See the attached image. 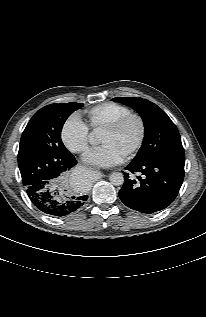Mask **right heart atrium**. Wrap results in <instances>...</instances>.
<instances>
[{
    "label": "right heart atrium",
    "mask_w": 206,
    "mask_h": 317,
    "mask_svg": "<svg viewBox=\"0 0 206 317\" xmlns=\"http://www.w3.org/2000/svg\"><path fill=\"white\" fill-rule=\"evenodd\" d=\"M60 134L64 145L70 151L83 153L88 149L90 142L89 127L79 116H69L62 124Z\"/></svg>",
    "instance_id": "obj_1"
}]
</instances>
